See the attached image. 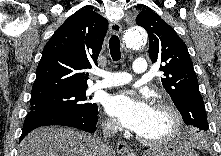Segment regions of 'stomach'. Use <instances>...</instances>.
<instances>
[{
    "label": "stomach",
    "mask_w": 221,
    "mask_h": 156,
    "mask_svg": "<svg viewBox=\"0 0 221 156\" xmlns=\"http://www.w3.org/2000/svg\"><path fill=\"white\" fill-rule=\"evenodd\" d=\"M148 156H198L195 151L179 142H169L149 151Z\"/></svg>",
    "instance_id": "stomach-1"
}]
</instances>
